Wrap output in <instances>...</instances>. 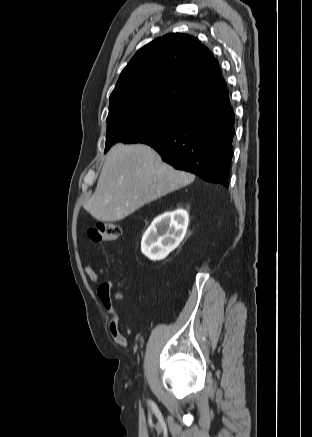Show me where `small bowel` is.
<instances>
[{"instance_id": "c3829d8e", "label": "small bowel", "mask_w": 312, "mask_h": 437, "mask_svg": "<svg viewBox=\"0 0 312 437\" xmlns=\"http://www.w3.org/2000/svg\"><path fill=\"white\" fill-rule=\"evenodd\" d=\"M85 272L89 279L97 285V293L102 302V305L111 315L109 331L113 340L117 344L126 347L128 345V341L120 331L119 314L110 295L111 284L109 282H102L100 280L99 274L92 267V261H89L86 264ZM119 298L121 299V297Z\"/></svg>"}]
</instances>
